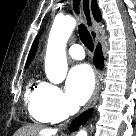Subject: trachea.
I'll use <instances>...</instances> for the list:
<instances>
[{"label":"trachea","mask_w":136,"mask_h":136,"mask_svg":"<svg viewBox=\"0 0 136 136\" xmlns=\"http://www.w3.org/2000/svg\"><path fill=\"white\" fill-rule=\"evenodd\" d=\"M79 5H80V0H73V6L76 14H79ZM78 33L80 36L81 41L84 43V45L90 50L93 51L94 49V44L93 40L90 36L89 31L87 30L86 26L81 23L78 26Z\"/></svg>","instance_id":"trachea-1"}]
</instances>
